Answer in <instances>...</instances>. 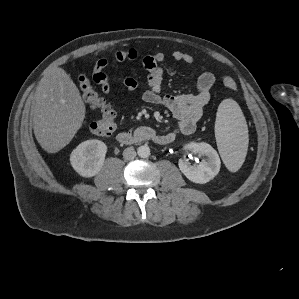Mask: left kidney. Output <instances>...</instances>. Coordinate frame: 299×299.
Segmentation results:
<instances>
[{
    "mask_svg": "<svg viewBox=\"0 0 299 299\" xmlns=\"http://www.w3.org/2000/svg\"><path fill=\"white\" fill-rule=\"evenodd\" d=\"M185 150H193L206 156L198 165H190L186 160H179L181 172L192 182L204 184L213 179L220 170L221 161L217 151L208 143L191 142L184 146Z\"/></svg>",
    "mask_w": 299,
    "mask_h": 299,
    "instance_id": "obj_1",
    "label": "left kidney"
}]
</instances>
